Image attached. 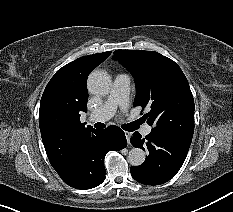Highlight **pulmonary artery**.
Wrapping results in <instances>:
<instances>
[{
  "label": "pulmonary artery",
  "mask_w": 233,
  "mask_h": 212,
  "mask_svg": "<svg viewBox=\"0 0 233 212\" xmlns=\"http://www.w3.org/2000/svg\"><path fill=\"white\" fill-rule=\"evenodd\" d=\"M129 87L130 77L126 74H118L114 78L111 92L106 101L89 115V119L104 122L114 115L117 108L125 111L128 108ZM150 132L151 127L149 125L144 126L143 134L148 135Z\"/></svg>",
  "instance_id": "obj_1"
}]
</instances>
